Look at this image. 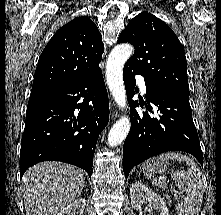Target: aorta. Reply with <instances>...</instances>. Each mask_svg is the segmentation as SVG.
<instances>
[{
    "label": "aorta",
    "mask_w": 221,
    "mask_h": 215,
    "mask_svg": "<svg viewBox=\"0 0 221 215\" xmlns=\"http://www.w3.org/2000/svg\"><path fill=\"white\" fill-rule=\"evenodd\" d=\"M130 44H119L115 46L107 60L106 81L109 90L120 109L126 108V92L123 82L122 71L125 62L133 53ZM130 119L128 116L120 118L111 128L108 134V144L111 147L122 143L130 131Z\"/></svg>",
    "instance_id": "aorta-1"
}]
</instances>
